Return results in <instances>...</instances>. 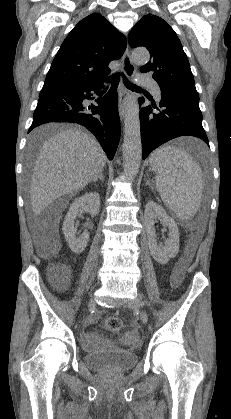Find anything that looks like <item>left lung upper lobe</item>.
<instances>
[{
	"label": "left lung upper lobe",
	"instance_id": "5c2ea615",
	"mask_svg": "<svg viewBox=\"0 0 231 419\" xmlns=\"http://www.w3.org/2000/svg\"><path fill=\"white\" fill-rule=\"evenodd\" d=\"M128 42L150 51L151 61L140 70L153 72L161 90L199 96L182 44L166 21L152 14L143 16L130 31Z\"/></svg>",
	"mask_w": 231,
	"mask_h": 419
}]
</instances>
